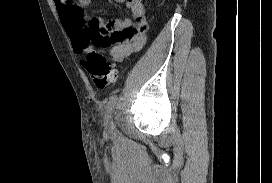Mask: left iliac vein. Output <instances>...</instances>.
Wrapping results in <instances>:
<instances>
[{
  "label": "left iliac vein",
  "mask_w": 272,
  "mask_h": 183,
  "mask_svg": "<svg viewBox=\"0 0 272 183\" xmlns=\"http://www.w3.org/2000/svg\"><path fill=\"white\" fill-rule=\"evenodd\" d=\"M105 122H106L107 129L111 132H115L116 126L112 119V110H109L107 114L105 115Z\"/></svg>",
  "instance_id": "4c4485c4"
}]
</instances>
